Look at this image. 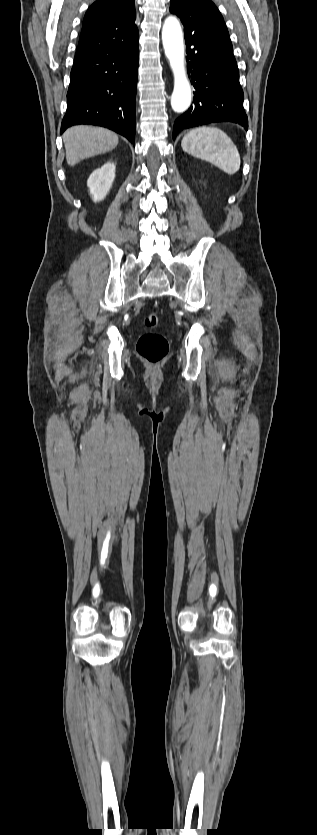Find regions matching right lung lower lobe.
I'll return each instance as SVG.
<instances>
[{
	"mask_svg": "<svg viewBox=\"0 0 317 835\" xmlns=\"http://www.w3.org/2000/svg\"><path fill=\"white\" fill-rule=\"evenodd\" d=\"M138 56V36L114 47H78L61 134L71 126L91 124L134 144Z\"/></svg>",
	"mask_w": 317,
	"mask_h": 835,
	"instance_id": "right-lung-lower-lobe-1",
	"label": "right lung lower lobe"
}]
</instances>
